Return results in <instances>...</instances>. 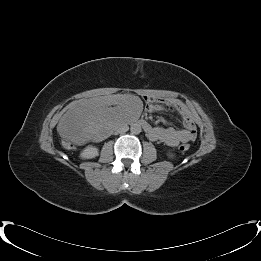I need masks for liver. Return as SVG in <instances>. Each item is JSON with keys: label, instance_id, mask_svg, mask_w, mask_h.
I'll list each match as a JSON object with an SVG mask.
<instances>
[{"label": "liver", "instance_id": "obj_1", "mask_svg": "<svg viewBox=\"0 0 261 261\" xmlns=\"http://www.w3.org/2000/svg\"><path fill=\"white\" fill-rule=\"evenodd\" d=\"M139 98L113 96L83 99L70 108L60 120L57 130L64 139L75 144L97 136L113 123L135 120L139 114Z\"/></svg>", "mask_w": 261, "mask_h": 261}]
</instances>
